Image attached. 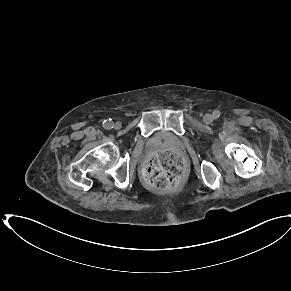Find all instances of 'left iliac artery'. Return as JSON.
Segmentation results:
<instances>
[{
    "label": "left iliac artery",
    "mask_w": 291,
    "mask_h": 291,
    "mask_svg": "<svg viewBox=\"0 0 291 291\" xmlns=\"http://www.w3.org/2000/svg\"><path fill=\"white\" fill-rule=\"evenodd\" d=\"M219 116H220V112H219L218 110H215V111L213 112V117H214V119H217Z\"/></svg>",
    "instance_id": "44dca946"
}]
</instances>
